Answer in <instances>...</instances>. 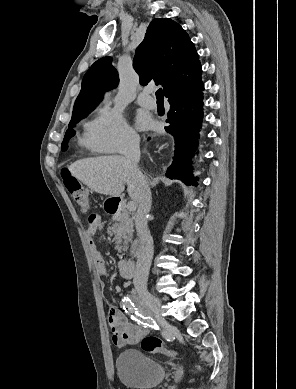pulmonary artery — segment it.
Instances as JSON below:
<instances>
[{"label": "pulmonary artery", "mask_w": 296, "mask_h": 389, "mask_svg": "<svg viewBox=\"0 0 296 389\" xmlns=\"http://www.w3.org/2000/svg\"><path fill=\"white\" fill-rule=\"evenodd\" d=\"M152 90L150 88H145L137 97V101L140 105L147 108H155L156 103L155 99L151 96Z\"/></svg>", "instance_id": "obj_1"}]
</instances>
